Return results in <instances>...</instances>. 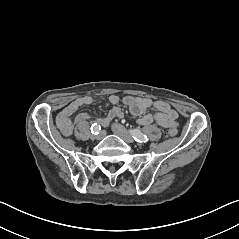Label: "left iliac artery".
<instances>
[{
	"label": "left iliac artery",
	"instance_id": "44dca946",
	"mask_svg": "<svg viewBox=\"0 0 239 239\" xmlns=\"http://www.w3.org/2000/svg\"><path fill=\"white\" fill-rule=\"evenodd\" d=\"M130 133L137 142L145 143L148 141L147 136L137 129L130 130Z\"/></svg>",
	"mask_w": 239,
	"mask_h": 239
}]
</instances>
